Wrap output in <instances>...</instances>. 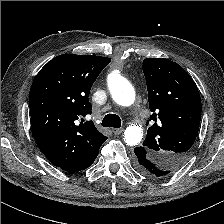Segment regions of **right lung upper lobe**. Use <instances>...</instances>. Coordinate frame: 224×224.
Wrapping results in <instances>:
<instances>
[{
    "instance_id": "cb5924a9",
    "label": "right lung upper lobe",
    "mask_w": 224,
    "mask_h": 224,
    "mask_svg": "<svg viewBox=\"0 0 224 224\" xmlns=\"http://www.w3.org/2000/svg\"><path fill=\"white\" fill-rule=\"evenodd\" d=\"M110 61L107 57L62 54L34 78L29 93L33 134L47 159L65 171L90 167L107 140L92 121L83 118L91 114L90 89Z\"/></svg>"
}]
</instances>
